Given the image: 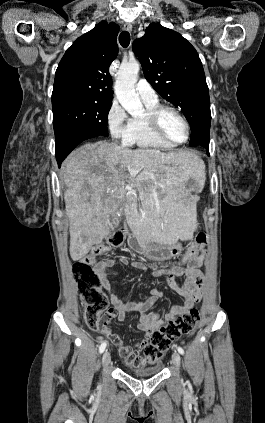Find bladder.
<instances>
[{
  "label": "bladder",
  "instance_id": "obj_1",
  "mask_svg": "<svg viewBox=\"0 0 265 423\" xmlns=\"http://www.w3.org/2000/svg\"><path fill=\"white\" fill-rule=\"evenodd\" d=\"M162 365H156L149 368H129L128 373L137 377H149L160 373Z\"/></svg>",
  "mask_w": 265,
  "mask_h": 423
}]
</instances>
